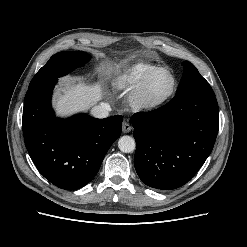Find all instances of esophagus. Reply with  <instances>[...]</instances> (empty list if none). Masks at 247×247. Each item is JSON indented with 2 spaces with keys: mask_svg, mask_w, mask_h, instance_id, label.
<instances>
[{
  "mask_svg": "<svg viewBox=\"0 0 247 247\" xmlns=\"http://www.w3.org/2000/svg\"><path fill=\"white\" fill-rule=\"evenodd\" d=\"M131 130H132L131 125L128 122L124 121L122 124L123 133H129Z\"/></svg>",
  "mask_w": 247,
  "mask_h": 247,
  "instance_id": "1",
  "label": "esophagus"
}]
</instances>
